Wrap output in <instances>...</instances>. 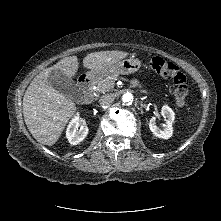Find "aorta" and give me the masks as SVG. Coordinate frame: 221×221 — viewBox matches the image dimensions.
I'll return each mask as SVG.
<instances>
[{"instance_id": "1", "label": "aorta", "mask_w": 221, "mask_h": 221, "mask_svg": "<svg viewBox=\"0 0 221 221\" xmlns=\"http://www.w3.org/2000/svg\"><path fill=\"white\" fill-rule=\"evenodd\" d=\"M123 101L124 102H131V101H133V95L131 93H125L123 95Z\"/></svg>"}]
</instances>
